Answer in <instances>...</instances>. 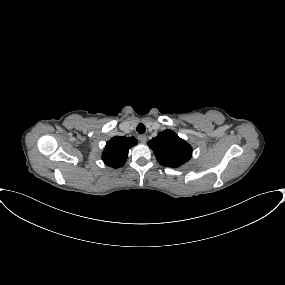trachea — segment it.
Segmentation results:
<instances>
[{
  "mask_svg": "<svg viewBox=\"0 0 285 285\" xmlns=\"http://www.w3.org/2000/svg\"><path fill=\"white\" fill-rule=\"evenodd\" d=\"M136 131L139 133V134H143L145 133L146 131V127L144 124L140 123L137 125V128H136Z\"/></svg>",
  "mask_w": 285,
  "mask_h": 285,
  "instance_id": "1",
  "label": "trachea"
}]
</instances>
